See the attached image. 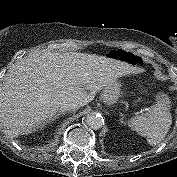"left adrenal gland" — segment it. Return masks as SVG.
Wrapping results in <instances>:
<instances>
[{"mask_svg":"<svg viewBox=\"0 0 177 177\" xmlns=\"http://www.w3.org/2000/svg\"><path fill=\"white\" fill-rule=\"evenodd\" d=\"M120 116H121L120 122L125 124V122L123 121L124 120V115L122 113H120Z\"/></svg>","mask_w":177,"mask_h":177,"instance_id":"1","label":"left adrenal gland"}]
</instances>
